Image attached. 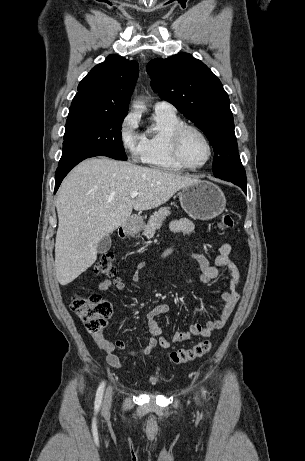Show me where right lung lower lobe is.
Segmentation results:
<instances>
[{
	"mask_svg": "<svg viewBox=\"0 0 305 461\" xmlns=\"http://www.w3.org/2000/svg\"><path fill=\"white\" fill-rule=\"evenodd\" d=\"M94 157V156H92ZM89 158V157H87ZM86 159V157H82V158H78V159H75L71 162H68V163H65V164H61L59 163V166L56 170V173H55V192L57 191L59 185L61 184L63 178L67 175V173L74 167L76 166L79 162H81L82 160Z\"/></svg>",
	"mask_w": 305,
	"mask_h": 461,
	"instance_id": "obj_1",
	"label": "right lung lower lobe"
}]
</instances>
